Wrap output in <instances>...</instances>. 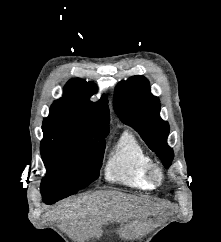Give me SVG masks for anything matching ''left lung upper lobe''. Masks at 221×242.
Returning a JSON list of instances; mask_svg holds the SVG:
<instances>
[{
  "label": "left lung upper lobe",
  "instance_id": "5c2ea615",
  "mask_svg": "<svg viewBox=\"0 0 221 242\" xmlns=\"http://www.w3.org/2000/svg\"><path fill=\"white\" fill-rule=\"evenodd\" d=\"M114 110L123 123L140 134L168 168L174 157L172 148L167 144L169 124L159 115L160 102L150 93L148 80L143 76H133L118 83Z\"/></svg>",
  "mask_w": 221,
  "mask_h": 242
}]
</instances>
